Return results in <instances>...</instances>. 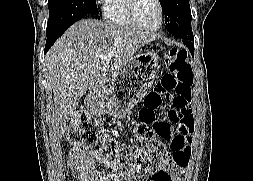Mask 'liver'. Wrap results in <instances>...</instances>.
I'll list each match as a JSON object with an SVG mask.
<instances>
[{"mask_svg": "<svg viewBox=\"0 0 253 181\" xmlns=\"http://www.w3.org/2000/svg\"><path fill=\"white\" fill-rule=\"evenodd\" d=\"M157 34L83 19L59 38L45 56L54 96L53 129L58 138L88 90L105 86L142 46ZM113 53L112 58H105Z\"/></svg>", "mask_w": 253, "mask_h": 181, "instance_id": "obj_1", "label": "liver"}]
</instances>
